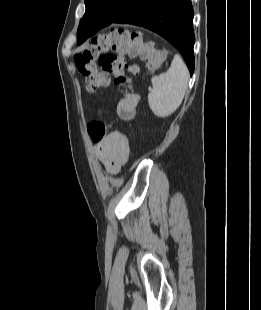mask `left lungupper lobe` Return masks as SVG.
I'll return each instance as SVG.
<instances>
[{
	"mask_svg": "<svg viewBox=\"0 0 261 310\" xmlns=\"http://www.w3.org/2000/svg\"><path fill=\"white\" fill-rule=\"evenodd\" d=\"M127 0H85L86 11L80 20L78 33L82 26L90 21H110L122 10Z\"/></svg>",
	"mask_w": 261,
	"mask_h": 310,
	"instance_id": "left-lung-upper-lobe-1",
	"label": "left lung upper lobe"
}]
</instances>
